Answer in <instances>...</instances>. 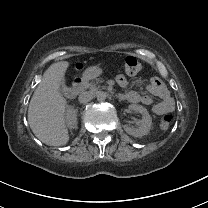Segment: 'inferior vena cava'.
Listing matches in <instances>:
<instances>
[{
	"label": "inferior vena cava",
	"mask_w": 208,
	"mask_h": 208,
	"mask_svg": "<svg viewBox=\"0 0 208 208\" xmlns=\"http://www.w3.org/2000/svg\"><path fill=\"white\" fill-rule=\"evenodd\" d=\"M94 98V94L90 91L83 92L79 95V102L84 104L88 103Z\"/></svg>",
	"instance_id": "602c4592"
}]
</instances>
